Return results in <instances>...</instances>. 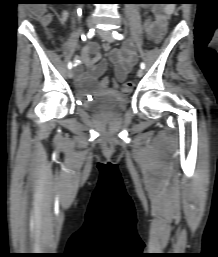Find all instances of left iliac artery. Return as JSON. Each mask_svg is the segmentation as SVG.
I'll return each mask as SVG.
<instances>
[{"label": "left iliac artery", "instance_id": "obj_1", "mask_svg": "<svg viewBox=\"0 0 218 257\" xmlns=\"http://www.w3.org/2000/svg\"><path fill=\"white\" fill-rule=\"evenodd\" d=\"M112 36H113L115 39H117V40H122V39H124V36H123L122 34L118 33L117 31H113V32H112ZM140 67H141L142 69H144V68H145V64H144L143 62H141Z\"/></svg>", "mask_w": 218, "mask_h": 257}]
</instances>
